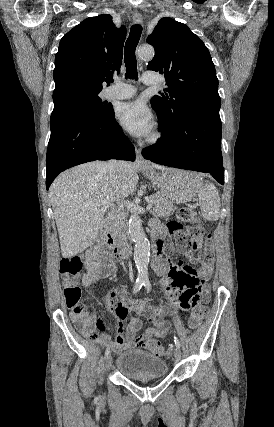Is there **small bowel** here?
I'll return each instance as SVG.
<instances>
[{"instance_id":"obj_1","label":"small bowel","mask_w":274,"mask_h":427,"mask_svg":"<svg viewBox=\"0 0 274 427\" xmlns=\"http://www.w3.org/2000/svg\"><path fill=\"white\" fill-rule=\"evenodd\" d=\"M160 226L157 222H152L150 231L154 236ZM200 250L197 244L191 247L190 251H179L182 257H187L189 263H194V254ZM212 251L204 250L205 256H211ZM117 257L113 251H108L100 245L91 247L85 252L84 268L82 275V284L84 286L95 285L99 280L112 277L116 272ZM155 272L163 277V286L172 303L173 312L180 310H191L192 302L199 300L201 292L202 299L208 301L211 289L208 284L215 281L214 272L216 270V261H207L206 268L192 270L190 267H182L171 259H157L153 263ZM202 277V279H201ZM200 285L199 283L201 282ZM182 298L177 305L178 299ZM105 309L111 310L116 318L117 335L112 339L105 333L106 325L98 313L90 314L84 308L78 312L71 313V319L75 323L79 332L92 342L101 344L114 353H122L127 350L136 349L143 346V341L153 337H164L168 332L173 331V324L170 319L174 318L173 312H162L161 318L155 313L160 311V306L151 304L149 299L130 300L126 294L118 291H112L104 298ZM151 313L149 321L150 328L146 329L141 337L137 336L142 327V320L133 316L129 319L128 326L125 327V320L130 312ZM180 319L186 318L185 312L179 313Z\"/></svg>"}]
</instances>
